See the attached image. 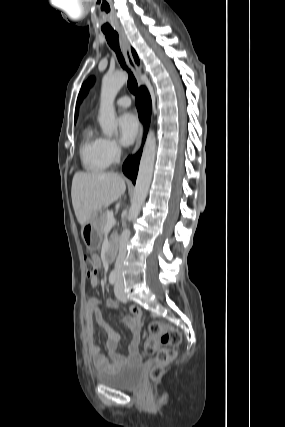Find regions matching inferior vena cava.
<instances>
[{
	"instance_id": "1",
	"label": "inferior vena cava",
	"mask_w": 285,
	"mask_h": 427,
	"mask_svg": "<svg viewBox=\"0 0 285 427\" xmlns=\"http://www.w3.org/2000/svg\"><path fill=\"white\" fill-rule=\"evenodd\" d=\"M129 237H130V231L128 229H125L121 233V236H120L119 254H118V257H117L116 263H115V271L118 275L121 274V271H122L123 262L125 260L126 252H127L126 245H127Z\"/></svg>"
}]
</instances>
